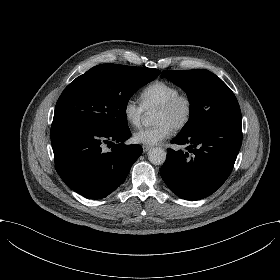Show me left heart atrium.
Segmentation results:
<instances>
[{
    "label": "left heart atrium",
    "mask_w": 280,
    "mask_h": 280,
    "mask_svg": "<svg viewBox=\"0 0 280 280\" xmlns=\"http://www.w3.org/2000/svg\"><path fill=\"white\" fill-rule=\"evenodd\" d=\"M173 130L174 126L171 123L161 121L153 127L140 128L134 131L132 140L136 144L154 146L169 138Z\"/></svg>",
    "instance_id": "1"
}]
</instances>
